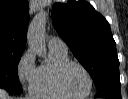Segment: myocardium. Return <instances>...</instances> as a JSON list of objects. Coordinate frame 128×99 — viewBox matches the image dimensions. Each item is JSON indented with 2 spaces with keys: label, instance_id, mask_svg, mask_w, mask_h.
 <instances>
[{
  "label": "myocardium",
  "instance_id": "obj_1",
  "mask_svg": "<svg viewBox=\"0 0 128 99\" xmlns=\"http://www.w3.org/2000/svg\"><path fill=\"white\" fill-rule=\"evenodd\" d=\"M71 65H76V66L80 67L83 70V72L85 73V75L87 76L88 89L82 95L71 94V93H69L67 91V89L64 86L63 76H64V73H65L66 69ZM56 84H57L58 89L65 96H67L69 98H73V99H83V98H86L87 96H89L91 94V92H92V89H93V78H92L90 72L88 71V69L82 63H80L79 61H75V60H67L66 62L61 64L57 69V72H56Z\"/></svg>",
  "mask_w": 128,
  "mask_h": 99
}]
</instances>
